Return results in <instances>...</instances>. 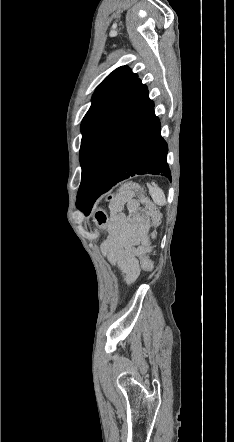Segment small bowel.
Listing matches in <instances>:
<instances>
[{
    "label": "small bowel",
    "mask_w": 234,
    "mask_h": 442,
    "mask_svg": "<svg viewBox=\"0 0 234 442\" xmlns=\"http://www.w3.org/2000/svg\"><path fill=\"white\" fill-rule=\"evenodd\" d=\"M109 209L107 237L101 250L109 263L123 272L125 281L132 283L143 269L138 245L146 231L147 216L132 194L111 202Z\"/></svg>",
    "instance_id": "small-bowel-1"
}]
</instances>
